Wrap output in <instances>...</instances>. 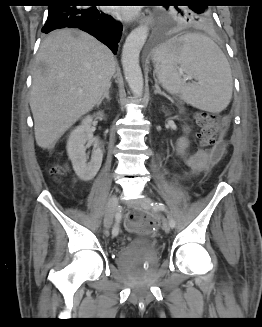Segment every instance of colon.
Returning <instances> with one entry per match:
<instances>
[{
  "mask_svg": "<svg viewBox=\"0 0 262 327\" xmlns=\"http://www.w3.org/2000/svg\"><path fill=\"white\" fill-rule=\"evenodd\" d=\"M196 121L200 127L199 138L201 147L206 150L210 147L212 163L220 162L226 151V146L223 140L220 139L221 124L219 120L211 113L200 111L196 114ZM65 173V169L61 166H56L52 170L55 178H61ZM155 224L154 220L144 213H131L126 217L125 225L127 229L135 231L143 228L149 230Z\"/></svg>",
  "mask_w": 262,
  "mask_h": 327,
  "instance_id": "colon-1",
  "label": "colon"
}]
</instances>
